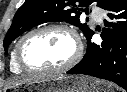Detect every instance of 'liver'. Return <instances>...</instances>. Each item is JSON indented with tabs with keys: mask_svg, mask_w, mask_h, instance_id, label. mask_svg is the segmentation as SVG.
<instances>
[{
	"mask_svg": "<svg viewBox=\"0 0 127 92\" xmlns=\"http://www.w3.org/2000/svg\"><path fill=\"white\" fill-rule=\"evenodd\" d=\"M48 78H52V77L36 76V77H30V78L15 79V80L10 81L6 85L5 90L9 87L18 86V85H21V84H24V83L40 81V80H44V79H48Z\"/></svg>",
	"mask_w": 127,
	"mask_h": 92,
	"instance_id": "obj_1",
	"label": "liver"
}]
</instances>
